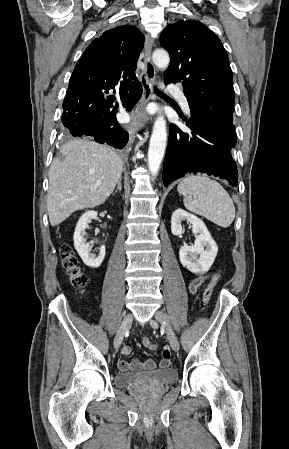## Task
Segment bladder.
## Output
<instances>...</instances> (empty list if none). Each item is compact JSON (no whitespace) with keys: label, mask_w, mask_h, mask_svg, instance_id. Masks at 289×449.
Instances as JSON below:
<instances>
[{"label":"bladder","mask_w":289,"mask_h":449,"mask_svg":"<svg viewBox=\"0 0 289 449\" xmlns=\"http://www.w3.org/2000/svg\"><path fill=\"white\" fill-rule=\"evenodd\" d=\"M177 378V371L168 367L147 372L117 373L114 377V384L121 389L130 385H169L176 382Z\"/></svg>","instance_id":"obj_1"}]
</instances>
